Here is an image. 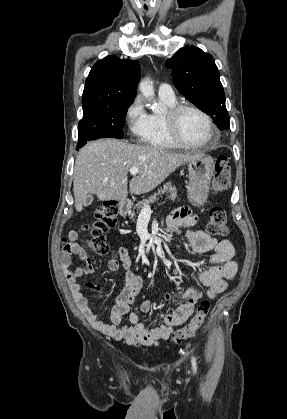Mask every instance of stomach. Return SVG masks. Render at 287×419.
I'll use <instances>...</instances> for the list:
<instances>
[{"mask_svg":"<svg viewBox=\"0 0 287 419\" xmlns=\"http://www.w3.org/2000/svg\"><path fill=\"white\" fill-rule=\"evenodd\" d=\"M214 170L215 162L213 158L205 154L188 162L189 182L187 190L189 201L193 205H203L207 200ZM127 213V207L121 211L122 215Z\"/></svg>","mask_w":287,"mask_h":419,"instance_id":"obj_1","label":"stomach"}]
</instances>
